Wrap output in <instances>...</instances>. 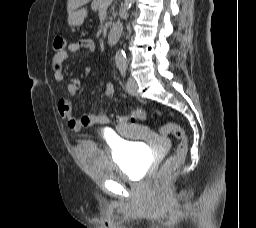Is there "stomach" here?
Listing matches in <instances>:
<instances>
[{
  "label": "stomach",
  "instance_id": "stomach-1",
  "mask_svg": "<svg viewBox=\"0 0 256 228\" xmlns=\"http://www.w3.org/2000/svg\"><path fill=\"white\" fill-rule=\"evenodd\" d=\"M87 9H75L68 15V24L72 27L81 26L84 22V19L87 17Z\"/></svg>",
  "mask_w": 256,
  "mask_h": 228
}]
</instances>
